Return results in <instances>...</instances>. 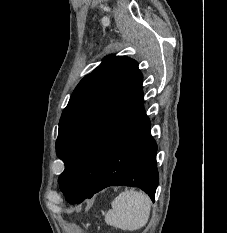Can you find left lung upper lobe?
Returning <instances> with one entry per match:
<instances>
[{"label":"left lung upper lobe","instance_id":"obj_1","mask_svg":"<svg viewBox=\"0 0 227 233\" xmlns=\"http://www.w3.org/2000/svg\"><path fill=\"white\" fill-rule=\"evenodd\" d=\"M142 79L135 60L110 55L75 88L56 141L67 201L95 188L116 145L144 115Z\"/></svg>","mask_w":227,"mask_h":233}]
</instances>
